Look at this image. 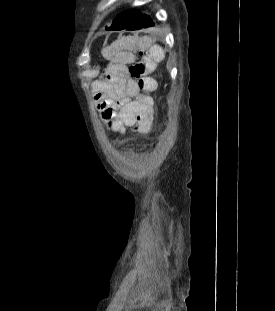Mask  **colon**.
<instances>
[{
	"label": "colon",
	"instance_id": "colon-1",
	"mask_svg": "<svg viewBox=\"0 0 275 311\" xmlns=\"http://www.w3.org/2000/svg\"><path fill=\"white\" fill-rule=\"evenodd\" d=\"M155 63L152 57H141L129 66V75L137 81L139 92L144 96H149L155 90L154 80L148 76ZM126 125L127 118H112L109 127L111 130H126Z\"/></svg>",
	"mask_w": 275,
	"mask_h": 311
}]
</instances>
